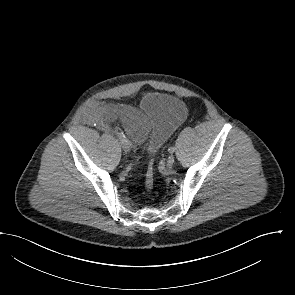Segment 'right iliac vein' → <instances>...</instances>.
<instances>
[{"label":"right iliac vein","mask_w":295,"mask_h":295,"mask_svg":"<svg viewBox=\"0 0 295 295\" xmlns=\"http://www.w3.org/2000/svg\"><path fill=\"white\" fill-rule=\"evenodd\" d=\"M122 148L124 149V151L126 153H128L130 151L131 148V142L129 140H125L122 142Z\"/></svg>","instance_id":"63e3f726"}]
</instances>
